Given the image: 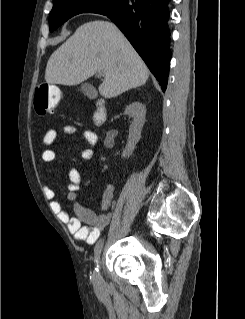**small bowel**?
Instances as JSON below:
<instances>
[{
  "instance_id": "small-bowel-1",
  "label": "small bowel",
  "mask_w": 245,
  "mask_h": 319,
  "mask_svg": "<svg viewBox=\"0 0 245 319\" xmlns=\"http://www.w3.org/2000/svg\"><path fill=\"white\" fill-rule=\"evenodd\" d=\"M64 132L66 134H75L77 129L72 125H67L64 127ZM81 136L90 146L82 151L81 156L85 160L91 159L93 156L92 147L97 144L98 137L94 131L89 129L83 130ZM56 138V130L49 129L44 134L43 144L46 147H51ZM55 159L56 152L53 149L47 148L43 151L42 160L44 163H53ZM68 177V200L72 204V214L63 209L61 202L55 199L54 190L49 186L44 189L45 197L51 201L52 210L62 222L67 224L69 231L76 240L86 242L89 245L94 244L111 220L112 214L108 210L112 203L114 187L111 184L106 187L101 199L102 213L96 214L79 203L77 191L82 183L79 171L74 167L69 168Z\"/></svg>"
}]
</instances>
